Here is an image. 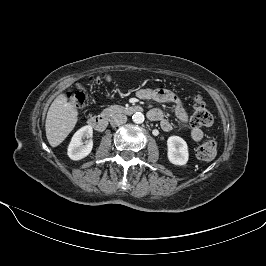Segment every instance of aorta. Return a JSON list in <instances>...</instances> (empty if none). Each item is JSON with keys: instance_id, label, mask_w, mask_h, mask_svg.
<instances>
[{"instance_id": "1", "label": "aorta", "mask_w": 266, "mask_h": 266, "mask_svg": "<svg viewBox=\"0 0 266 266\" xmlns=\"http://www.w3.org/2000/svg\"><path fill=\"white\" fill-rule=\"evenodd\" d=\"M132 120L134 123L136 124H141L144 121V115L141 112H136L133 116H132Z\"/></svg>"}]
</instances>
